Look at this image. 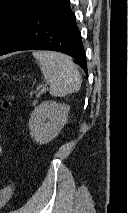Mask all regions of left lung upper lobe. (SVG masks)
I'll return each mask as SVG.
<instances>
[{
    "mask_svg": "<svg viewBox=\"0 0 128 213\" xmlns=\"http://www.w3.org/2000/svg\"><path fill=\"white\" fill-rule=\"evenodd\" d=\"M38 0H0V52L7 49Z\"/></svg>",
    "mask_w": 128,
    "mask_h": 213,
    "instance_id": "left-lung-upper-lobe-1",
    "label": "left lung upper lobe"
}]
</instances>
